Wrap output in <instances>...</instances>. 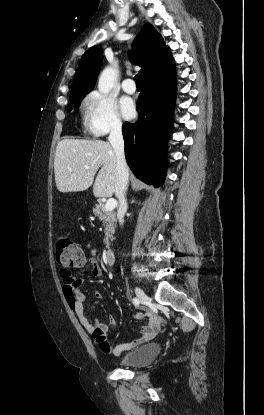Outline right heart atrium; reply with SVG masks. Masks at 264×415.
I'll return each mask as SVG.
<instances>
[{
    "mask_svg": "<svg viewBox=\"0 0 264 415\" xmlns=\"http://www.w3.org/2000/svg\"><path fill=\"white\" fill-rule=\"evenodd\" d=\"M86 120L89 130L97 136L120 131L122 121L114 101L99 92L86 99Z\"/></svg>",
    "mask_w": 264,
    "mask_h": 415,
    "instance_id": "right-heart-atrium-1",
    "label": "right heart atrium"
}]
</instances>
